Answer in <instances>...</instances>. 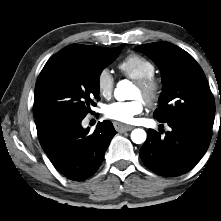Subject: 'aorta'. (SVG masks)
<instances>
[{
	"label": "aorta",
	"mask_w": 221,
	"mask_h": 221,
	"mask_svg": "<svg viewBox=\"0 0 221 221\" xmlns=\"http://www.w3.org/2000/svg\"><path fill=\"white\" fill-rule=\"evenodd\" d=\"M133 89V84L129 80H121L117 83L114 90V96L118 101L128 100L130 91ZM146 132L143 129H134L131 133V140L136 144H141L146 140Z\"/></svg>",
	"instance_id": "aorta-1"
}]
</instances>
